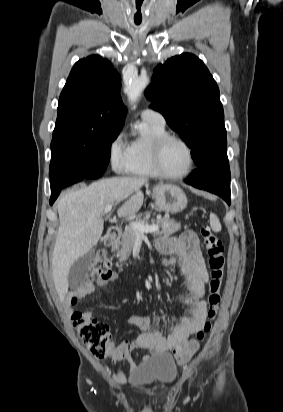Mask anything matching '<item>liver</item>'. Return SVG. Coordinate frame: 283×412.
I'll return each mask as SVG.
<instances>
[{
	"label": "liver",
	"instance_id": "liver-1",
	"mask_svg": "<svg viewBox=\"0 0 283 412\" xmlns=\"http://www.w3.org/2000/svg\"><path fill=\"white\" fill-rule=\"evenodd\" d=\"M142 177H113L71 191L61 197L57 209L59 229L52 255V274L60 300L68 293V275L73 263L99 241L107 206L118 205L119 217L137 213L143 204Z\"/></svg>",
	"mask_w": 283,
	"mask_h": 412
}]
</instances>
